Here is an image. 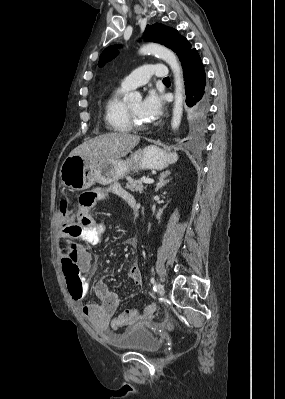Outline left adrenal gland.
Returning <instances> with one entry per match:
<instances>
[{"label": "left adrenal gland", "mask_w": 285, "mask_h": 399, "mask_svg": "<svg viewBox=\"0 0 285 399\" xmlns=\"http://www.w3.org/2000/svg\"><path fill=\"white\" fill-rule=\"evenodd\" d=\"M170 174H171L170 171H165L160 174L159 182L156 185L155 192H157L159 189H161L170 181V179H166Z\"/></svg>", "instance_id": "obj_1"}]
</instances>
